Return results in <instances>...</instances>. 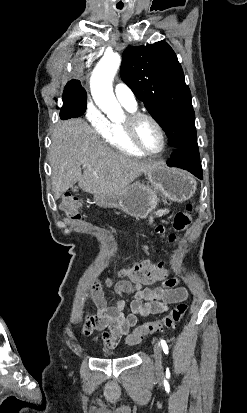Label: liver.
Instances as JSON below:
<instances>
[{
	"instance_id": "obj_1",
	"label": "liver",
	"mask_w": 247,
	"mask_h": 413,
	"mask_svg": "<svg viewBox=\"0 0 247 413\" xmlns=\"http://www.w3.org/2000/svg\"><path fill=\"white\" fill-rule=\"evenodd\" d=\"M84 166L83 174L81 164ZM54 198L78 182L85 192H119L132 180L152 168L144 162L113 150L82 118L57 122L50 148Z\"/></svg>"
}]
</instances>
